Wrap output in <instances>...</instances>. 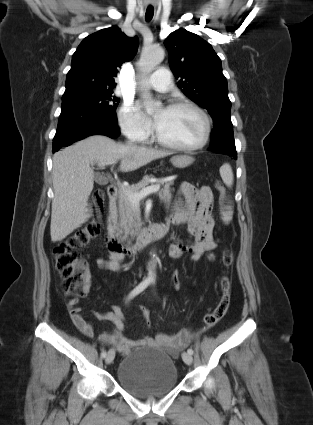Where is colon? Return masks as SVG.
Here are the masks:
<instances>
[{
	"instance_id": "1",
	"label": "colon",
	"mask_w": 313,
	"mask_h": 425,
	"mask_svg": "<svg viewBox=\"0 0 313 425\" xmlns=\"http://www.w3.org/2000/svg\"><path fill=\"white\" fill-rule=\"evenodd\" d=\"M216 188L220 195V204L224 205L227 198V191L221 182L216 183ZM95 206L98 210L102 208L103 193L96 190L93 193ZM100 232V219L94 217L85 225L71 233L67 238L57 244L53 249L56 269L64 280V291L68 296L73 298L69 301V306H76L78 296L83 295L84 284L88 278V267L86 261L81 257L80 251L85 248ZM209 261L215 260L213 249L207 252ZM233 261V253L226 249L222 254V263L225 267H229ZM172 287L179 290L183 286V278L175 272L170 278ZM220 300L214 310L207 313L204 317V323L207 327L216 325L227 313L231 300V280L227 275L220 278ZM144 319L149 324V312L144 311Z\"/></svg>"
}]
</instances>
